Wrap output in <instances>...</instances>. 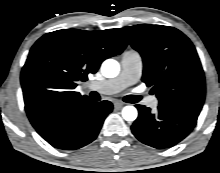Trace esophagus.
I'll list each match as a JSON object with an SVG mask.
<instances>
[{
	"mask_svg": "<svg viewBox=\"0 0 220 173\" xmlns=\"http://www.w3.org/2000/svg\"><path fill=\"white\" fill-rule=\"evenodd\" d=\"M126 103H124L121 100H116L114 103L115 108L120 109L121 107H123Z\"/></svg>",
	"mask_w": 220,
	"mask_h": 173,
	"instance_id": "esophagus-1",
	"label": "esophagus"
}]
</instances>
